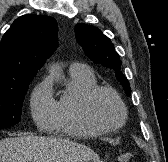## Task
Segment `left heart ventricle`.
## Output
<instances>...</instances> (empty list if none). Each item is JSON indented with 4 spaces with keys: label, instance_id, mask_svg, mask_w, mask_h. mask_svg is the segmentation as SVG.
Returning a JSON list of instances; mask_svg holds the SVG:
<instances>
[{
    "label": "left heart ventricle",
    "instance_id": "obj_1",
    "mask_svg": "<svg viewBox=\"0 0 168 162\" xmlns=\"http://www.w3.org/2000/svg\"><path fill=\"white\" fill-rule=\"evenodd\" d=\"M93 111L96 118L106 126L117 125L121 120V109L116 99L105 92L94 99Z\"/></svg>",
    "mask_w": 168,
    "mask_h": 162
}]
</instances>
